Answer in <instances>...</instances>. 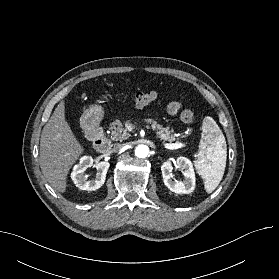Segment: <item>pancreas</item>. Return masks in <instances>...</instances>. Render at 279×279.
Segmentation results:
<instances>
[{"instance_id": "1", "label": "pancreas", "mask_w": 279, "mask_h": 279, "mask_svg": "<svg viewBox=\"0 0 279 279\" xmlns=\"http://www.w3.org/2000/svg\"><path fill=\"white\" fill-rule=\"evenodd\" d=\"M146 122L152 124V128L156 130L157 137L160 138V140L170 143L175 141L173 129H170L169 127H163L152 119H146ZM110 130L111 139L113 141H123L130 137L128 130L124 128L123 123L119 119H116L111 123Z\"/></svg>"}]
</instances>
